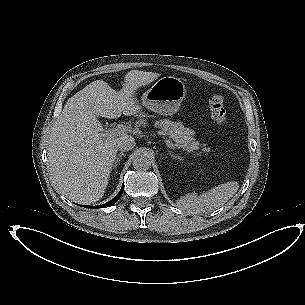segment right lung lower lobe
<instances>
[{
  "instance_id": "obj_1",
  "label": "right lung lower lobe",
  "mask_w": 305,
  "mask_h": 305,
  "mask_svg": "<svg viewBox=\"0 0 305 305\" xmlns=\"http://www.w3.org/2000/svg\"><path fill=\"white\" fill-rule=\"evenodd\" d=\"M124 190V185L122 186L121 190L119 191V193L117 194V196H115L112 200H110L109 202L99 205V206H84L87 208H102V207H110L112 206L114 203H116L118 201V199L121 197L122 193Z\"/></svg>"
}]
</instances>
